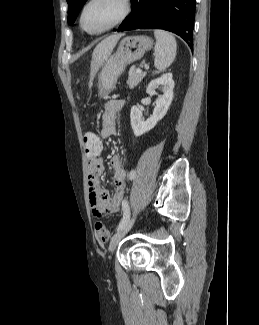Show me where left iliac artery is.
<instances>
[{
	"label": "left iliac artery",
	"instance_id": "1",
	"mask_svg": "<svg viewBox=\"0 0 259 325\" xmlns=\"http://www.w3.org/2000/svg\"><path fill=\"white\" fill-rule=\"evenodd\" d=\"M135 176H136V171L131 170L129 173V179L132 180L135 178ZM122 210H123V218L120 221L117 230L121 229L129 221L130 218V207L126 200H124L122 203Z\"/></svg>",
	"mask_w": 259,
	"mask_h": 325
}]
</instances>
